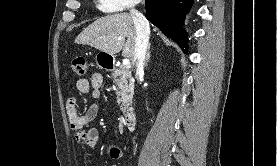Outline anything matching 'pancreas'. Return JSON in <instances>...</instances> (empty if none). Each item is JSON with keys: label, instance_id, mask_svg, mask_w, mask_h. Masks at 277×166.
Masks as SVG:
<instances>
[{"label": "pancreas", "instance_id": "pancreas-1", "mask_svg": "<svg viewBox=\"0 0 277 166\" xmlns=\"http://www.w3.org/2000/svg\"><path fill=\"white\" fill-rule=\"evenodd\" d=\"M112 77L118 88L117 103L120 104L121 110H125L132 103L134 95V81L131 72L125 66H120L113 70Z\"/></svg>", "mask_w": 277, "mask_h": 166}]
</instances>
